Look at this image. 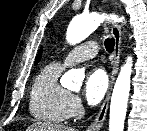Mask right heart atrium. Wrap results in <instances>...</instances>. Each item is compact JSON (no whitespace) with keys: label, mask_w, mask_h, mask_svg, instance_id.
<instances>
[{"label":"right heart atrium","mask_w":147,"mask_h":131,"mask_svg":"<svg viewBox=\"0 0 147 131\" xmlns=\"http://www.w3.org/2000/svg\"><path fill=\"white\" fill-rule=\"evenodd\" d=\"M82 113V104L80 99L75 95H70L67 104L68 117H77Z\"/></svg>","instance_id":"d8ad5b80"}]
</instances>
